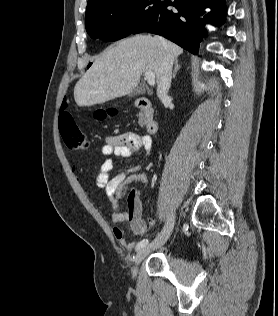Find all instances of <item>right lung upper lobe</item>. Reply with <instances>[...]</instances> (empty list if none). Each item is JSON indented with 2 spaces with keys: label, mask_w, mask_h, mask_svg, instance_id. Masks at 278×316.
Returning <instances> with one entry per match:
<instances>
[{
  "label": "right lung upper lobe",
  "mask_w": 278,
  "mask_h": 316,
  "mask_svg": "<svg viewBox=\"0 0 278 316\" xmlns=\"http://www.w3.org/2000/svg\"><path fill=\"white\" fill-rule=\"evenodd\" d=\"M107 1H110V0H88L86 12L92 9L93 7L100 5L102 3H105Z\"/></svg>",
  "instance_id": "right-lung-upper-lobe-1"
}]
</instances>
